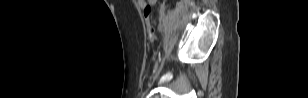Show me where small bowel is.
Segmentation results:
<instances>
[{
	"instance_id": "small-bowel-1",
	"label": "small bowel",
	"mask_w": 308,
	"mask_h": 98,
	"mask_svg": "<svg viewBox=\"0 0 308 98\" xmlns=\"http://www.w3.org/2000/svg\"><path fill=\"white\" fill-rule=\"evenodd\" d=\"M156 0H150V1H145V0H138V5L144 9L145 7L149 6L150 4H154Z\"/></svg>"
}]
</instances>
